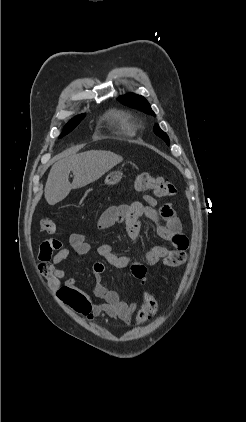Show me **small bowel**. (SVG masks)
<instances>
[{
  "label": "small bowel",
  "instance_id": "c3829d8e",
  "mask_svg": "<svg viewBox=\"0 0 246 422\" xmlns=\"http://www.w3.org/2000/svg\"><path fill=\"white\" fill-rule=\"evenodd\" d=\"M144 200L145 204L135 202L130 205L122 204L109 207L101 215L98 227L107 229L122 223L127 236L131 240L137 241L141 220L149 219L156 224V233L159 238L171 243L172 250L186 251L188 238L182 232L180 220L172 205L166 203L157 209V201L154 197L146 195ZM69 244L77 255H85L91 251V245L86 241V237L82 233L72 234L69 238ZM172 250L162 245H153L144 252L142 261L132 260L129 256L117 255L108 244L100 245L97 252L107 263L116 268L129 266L132 274L136 278L141 279L147 272L145 264H157L164 260ZM69 255V249L63 247L62 243L57 239H48L40 245L38 270L46 278L57 298L88 319L99 315H107L125 323L130 322L136 309V304L122 300L117 291L103 285L102 273L104 264L102 262H96L93 266L96 278L94 294L103 301L102 303L92 302L89 296L78 288L74 278L69 277L62 282L67 273L65 269L60 267V264ZM142 272H144L143 275L141 274Z\"/></svg>",
  "mask_w": 246,
  "mask_h": 422
}]
</instances>
